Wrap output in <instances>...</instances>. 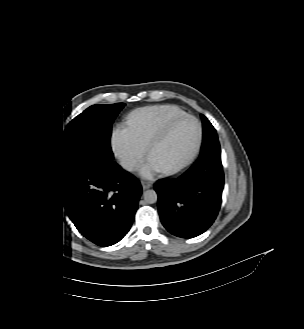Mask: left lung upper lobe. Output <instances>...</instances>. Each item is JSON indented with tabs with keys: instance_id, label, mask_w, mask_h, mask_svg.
I'll list each match as a JSON object with an SVG mask.
<instances>
[{
	"instance_id": "obj_1",
	"label": "left lung upper lobe",
	"mask_w": 304,
	"mask_h": 329,
	"mask_svg": "<svg viewBox=\"0 0 304 329\" xmlns=\"http://www.w3.org/2000/svg\"><path fill=\"white\" fill-rule=\"evenodd\" d=\"M203 122V143L201 152L210 145L211 142L218 140L216 130L210 123V121L204 116L201 115Z\"/></svg>"
}]
</instances>
